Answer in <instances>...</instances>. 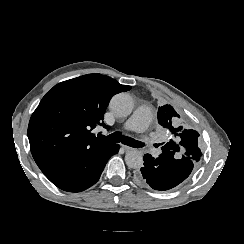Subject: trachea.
Listing matches in <instances>:
<instances>
[{
    "instance_id": "3493384b",
    "label": "trachea",
    "mask_w": 244,
    "mask_h": 244,
    "mask_svg": "<svg viewBox=\"0 0 244 244\" xmlns=\"http://www.w3.org/2000/svg\"><path fill=\"white\" fill-rule=\"evenodd\" d=\"M107 141L114 142V143H119L121 142L122 144L131 146L133 148H139L143 147L144 144L142 142H139L135 139H132L131 137L124 136L121 132H114L107 137H104Z\"/></svg>"
}]
</instances>
